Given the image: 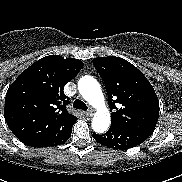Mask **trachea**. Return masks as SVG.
<instances>
[{"label": "trachea", "mask_w": 182, "mask_h": 182, "mask_svg": "<svg viewBox=\"0 0 182 182\" xmlns=\"http://www.w3.org/2000/svg\"><path fill=\"white\" fill-rule=\"evenodd\" d=\"M73 107L76 109H81L83 111H87V105L80 99H76L73 103Z\"/></svg>", "instance_id": "obj_1"}]
</instances>
